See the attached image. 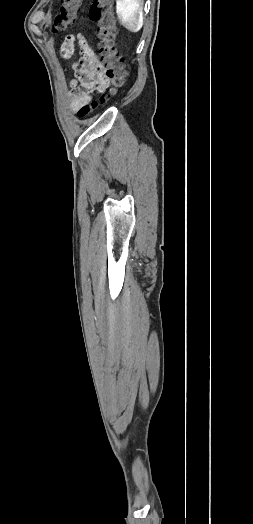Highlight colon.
Listing matches in <instances>:
<instances>
[{
  "label": "colon",
  "mask_w": 253,
  "mask_h": 524,
  "mask_svg": "<svg viewBox=\"0 0 253 524\" xmlns=\"http://www.w3.org/2000/svg\"><path fill=\"white\" fill-rule=\"evenodd\" d=\"M81 0H62V5L55 17L52 28L53 33H58L70 27L80 6ZM113 0H94L89 10L90 19L97 23L99 36V54L104 62V75L109 80V89L98 92L100 98H106L125 86L127 73L124 69V59L115 46L116 27L112 13ZM91 112L88 105L82 106L78 111L80 118L87 117Z\"/></svg>",
  "instance_id": "1"
}]
</instances>
